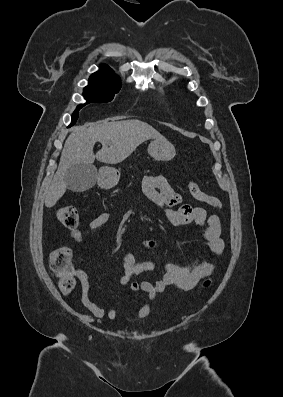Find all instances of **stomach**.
Segmentation results:
<instances>
[{"mask_svg":"<svg viewBox=\"0 0 283 397\" xmlns=\"http://www.w3.org/2000/svg\"><path fill=\"white\" fill-rule=\"evenodd\" d=\"M148 154L157 161H169L175 156L176 152L175 147L166 139H155L148 146ZM118 179V172L112 167H102L96 173L97 183L103 189L114 187Z\"/></svg>","mask_w":283,"mask_h":397,"instance_id":"0dacf381","label":"stomach"}]
</instances>
